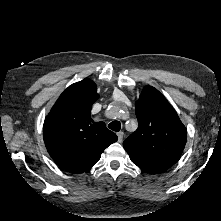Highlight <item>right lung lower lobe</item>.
Instances as JSON below:
<instances>
[{
  "label": "right lung lower lobe",
  "mask_w": 221,
  "mask_h": 221,
  "mask_svg": "<svg viewBox=\"0 0 221 221\" xmlns=\"http://www.w3.org/2000/svg\"><path fill=\"white\" fill-rule=\"evenodd\" d=\"M96 162H91V163H86L83 165H78L75 166L69 170H66L68 172H72V173H81V172H85L87 171L90 167H92Z\"/></svg>",
  "instance_id": "obj_1"
}]
</instances>
